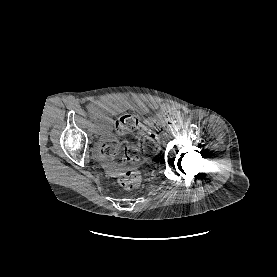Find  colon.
<instances>
[{
  "instance_id": "obj_1",
  "label": "colon",
  "mask_w": 277,
  "mask_h": 277,
  "mask_svg": "<svg viewBox=\"0 0 277 277\" xmlns=\"http://www.w3.org/2000/svg\"><path fill=\"white\" fill-rule=\"evenodd\" d=\"M176 120V113L172 112L155 121L151 129L141 137L139 147L109 140L101 146L100 155L114 164H133L141 158L151 157L159 151V137L165 133L167 126ZM140 126L141 122L137 115L125 114L115 121L114 130L118 135H125L138 130ZM140 181L139 173L134 169H128L120 175L118 184L121 189L130 191L138 188Z\"/></svg>"
}]
</instances>
